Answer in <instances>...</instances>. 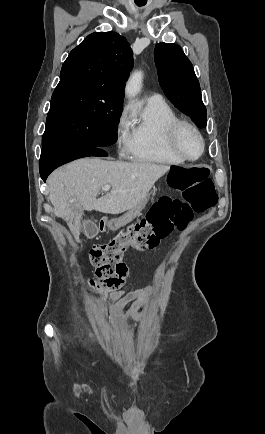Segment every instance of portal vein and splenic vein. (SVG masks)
I'll return each instance as SVG.
<instances>
[{
	"instance_id": "portal-vein-and-splenic-vein-1",
	"label": "portal vein and splenic vein",
	"mask_w": 265,
	"mask_h": 434,
	"mask_svg": "<svg viewBox=\"0 0 265 434\" xmlns=\"http://www.w3.org/2000/svg\"><path fill=\"white\" fill-rule=\"evenodd\" d=\"M111 186H103V188H101L102 192H108V190H110ZM70 204H73V202H76V200H69Z\"/></svg>"
}]
</instances>
